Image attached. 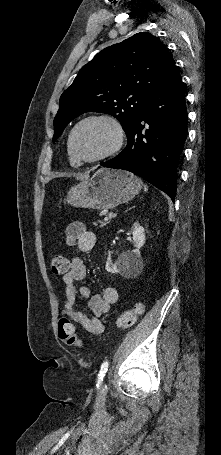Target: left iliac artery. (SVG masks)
<instances>
[{
    "label": "left iliac artery",
    "instance_id": "44dca946",
    "mask_svg": "<svg viewBox=\"0 0 221 455\" xmlns=\"http://www.w3.org/2000/svg\"><path fill=\"white\" fill-rule=\"evenodd\" d=\"M108 367H109V362L108 361H105L102 365H101V369L99 371V374H98V383H97V387H99V385L101 384V382L103 381V378L104 376L106 375V372L108 370Z\"/></svg>",
    "mask_w": 221,
    "mask_h": 455
}]
</instances>
